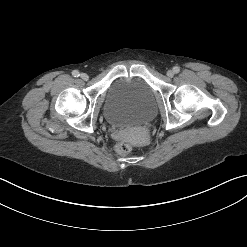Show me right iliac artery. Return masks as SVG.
I'll use <instances>...</instances> for the list:
<instances>
[{
  "label": "right iliac artery",
  "mask_w": 247,
  "mask_h": 247,
  "mask_svg": "<svg viewBox=\"0 0 247 247\" xmlns=\"http://www.w3.org/2000/svg\"><path fill=\"white\" fill-rule=\"evenodd\" d=\"M72 75H73L74 77H78L80 74H79V72H78L77 70H74V71L72 72Z\"/></svg>",
  "instance_id": "obj_1"
}]
</instances>
